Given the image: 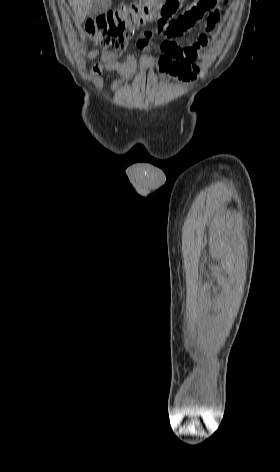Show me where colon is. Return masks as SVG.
Listing matches in <instances>:
<instances>
[{
  "mask_svg": "<svg viewBox=\"0 0 280 472\" xmlns=\"http://www.w3.org/2000/svg\"><path fill=\"white\" fill-rule=\"evenodd\" d=\"M219 1L203 0L198 5L210 11ZM182 2L183 0H138L123 4L89 20L85 25V34L95 44L103 47L106 55L115 58L124 52L135 29L154 20H170ZM218 19V12L212 11L208 22L215 23Z\"/></svg>",
  "mask_w": 280,
  "mask_h": 472,
  "instance_id": "1",
  "label": "colon"
}]
</instances>
